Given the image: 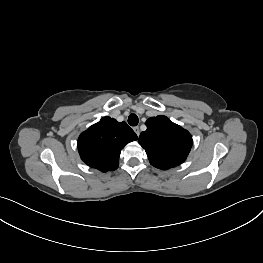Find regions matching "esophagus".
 Returning a JSON list of instances; mask_svg holds the SVG:
<instances>
[{"instance_id":"esophagus-1","label":"esophagus","mask_w":263,"mask_h":263,"mask_svg":"<svg viewBox=\"0 0 263 263\" xmlns=\"http://www.w3.org/2000/svg\"><path fill=\"white\" fill-rule=\"evenodd\" d=\"M133 130H134V132L136 133L137 136L140 135V129H139L138 126L134 127Z\"/></svg>"}]
</instances>
